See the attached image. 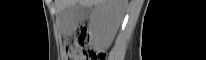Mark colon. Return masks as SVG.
Segmentation results:
<instances>
[{"mask_svg":"<svg viewBox=\"0 0 206 60\" xmlns=\"http://www.w3.org/2000/svg\"><path fill=\"white\" fill-rule=\"evenodd\" d=\"M87 29L80 26L74 38H67L65 41L63 55L66 60H96L103 58L102 53H95L86 48Z\"/></svg>","mask_w":206,"mask_h":60,"instance_id":"colon-1","label":"colon"}]
</instances>
